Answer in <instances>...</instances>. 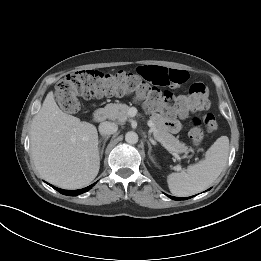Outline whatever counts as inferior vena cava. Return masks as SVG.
<instances>
[{
    "mask_svg": "<svg viewBox=\"0 0 261 261\" xmlns=\"http://www.w3.org/2000/svg\"><path fill=\"white\" fill-rule=\"evenodd\" d=\"M118 130V126L113 122H102L99 125V132L102 136L114 134Z\"/></svg>",
    "mask_w": 261,
    "mask_h": 261,
    "instance_id": "obj_1",
    "label": "inferior vena cava"
}]
</instances>
